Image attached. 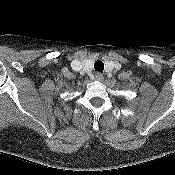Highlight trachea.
Returning <instances> with one entry per match:
<instances>
[{
	"label": "trachea",
	"instance_id": "1",
	"mask_svg": "<svg viewBox=\"0 0 175 175\" xmlns=\"http://www.w3.org/2000/svg\"><path fill=\"white\" fill-rule=\"evenodd\" d=\"M94 69L98 72H103L104 70V63L100 60L95 61L94 63Z\"/></svg>",
	"mask_w": 175,
	"mask_h": 175
}]
</instances>
